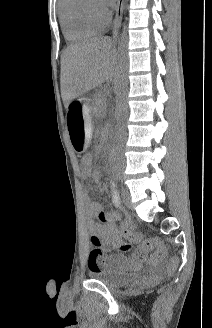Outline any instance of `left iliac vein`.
<instances>
[{
    "label": "left iliac vein",
    "instance_id": "4c4485c4",
    "mask_svg": "<svg viewBox=\"0 0 212 328\" xmlns=\"http://www.w3.org/2000/svg\"><path fill=\"white\" fill-rule=\"evenodd\" d=\"M122 197H123V202L125 205L129 208L132 209V203H131V197H130V192L127 188L123 189L122 192Z\"/></svg>",
    "mask_w": 212,
    "mask_h": 328
}]
</instances>
